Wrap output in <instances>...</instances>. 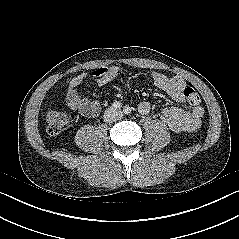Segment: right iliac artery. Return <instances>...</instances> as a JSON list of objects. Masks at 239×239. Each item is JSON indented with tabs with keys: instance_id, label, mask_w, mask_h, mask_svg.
I'll return each instance as SVG.
<instances>
[{
	"instance_id": "82829eb1",
	"label": "right iliac artery",
	"mask_w": 239,
	"mask_h": 239,
	"mask_svg": "<svg viewBox=\"0 0 239 239\" xmlns=\"http://www.w3.org/2000/svg\"><path fill=\"white\" fill-rule=\"evenodd\" d=\"M112 106L115 109H121V107H122V105H121V103L119 101L113 102Z\"/></svg>"
}]
</instances>
